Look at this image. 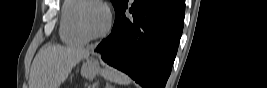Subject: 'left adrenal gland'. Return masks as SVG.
<instances>
[{"label": "left adrenal gland", "instance_id": "a2214340", "mask_svg": "<svg viewBox=\"0 0 267 88\" xmlns=\"http://www.w3.org/2000/svg\"><path fill=\"white\" fill-rule=\"evenodd\" d=\"M93 87L98 88V83H95V84L93 85ZM105 88H111V85L107 83L106 86H105Z\"/></svg>", "mask_w": 267, "mask_h": 88}]
</instances>
